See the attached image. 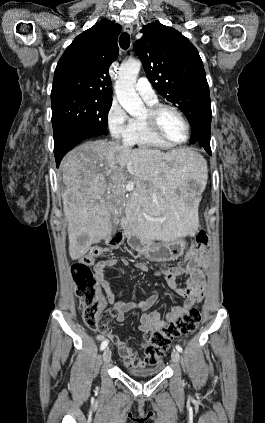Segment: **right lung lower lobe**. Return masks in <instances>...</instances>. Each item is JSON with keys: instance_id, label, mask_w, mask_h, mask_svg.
Returning <instances> with one entry per match:
<instances>
[{"instance_id": "right-lung-lower-lobe-1", "label": "right lung lower lobe", "mask_w": 265, "mask_h": 423, "mask_svg": "<svg viewBox=\"0 0 265 423\" xmlns=\"http://www.w3.org/2000/svg\"><path fill=\"white\" fill-rule=\"evenodd\" d=\"M100 133L91 129L77 126V125H65L54 131V153L58 155L56 159L57 166L61 159L59 157L71 150L81 141L99 136Z\"/></svg>"}]
</instances>
